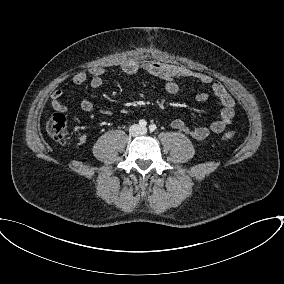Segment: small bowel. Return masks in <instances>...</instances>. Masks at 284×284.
Listing matches in <instances>:
<instances>
[{
    "label": "small bowel",
    "mask_w": 284,
    "mask_h": 284,
    "mask_svg": "<svg viewBox=\"0 0 284 284\" xmlns=\"http://www.w3.org/2000/svg\"><path fill=\"white\" fill-rule=\"evenodd\" d=\"M121 70L126 74H134L140 70H144L154 76H158L164 80L165 91L172 95L179 94L183 90L177 82V80L180 78H195L201 83L209 85L212 94L219 100L222 106L218 119L210 122L207 125L198 127H191L180 119H175L171 122V127L173 129L189 135L194 140L203 141L206 140L211 134H219L223 132L233 120L235 107L233 97L223 84L213 81L212 77L208 74L198 73L180 66L152 60H130L121 65ZM104 72L105 70L102 67H93L88 73H76L72 80L75 84H82L90 76V86L96 89L103 84ZM62 97V89L54 90L51 95L52 108L60 113L67 112L69 109V106L61 101ZM207 98L208 93L206 92H200L197 95L198 101H204ZM80 107L86 113H91L94 111L92 102L87 98H84L80 101Z\"/></svg>",
    "instance_id": "1"
}]
</instances>
